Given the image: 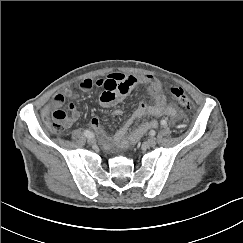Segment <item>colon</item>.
I'll list each match as a JSON object with an SVG mask.
<instances>
[{"mask_svg": "<svg viewBox=\"0 0 243 243\" xmlns=\"http://www.w3.org/2000/svg\"><path fill=\"white\" fill-rule=\"evenodd\" d=\"M170 96L183 109H192L193 103L181 87H172L170 89ZM44 117L51 130H53L54 132L60 133L68 128V117L63 110H56L52 113L44 115Z\"/></svg>", "mask_w": 243, "mask_h": 243, "instance_id": "colon-1", "label": "colon"}]
</instances>
